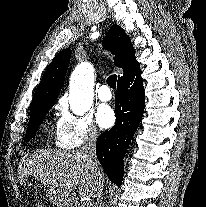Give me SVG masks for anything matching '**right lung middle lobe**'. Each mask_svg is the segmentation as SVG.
<instances>
[{
	"instance_id": "obj_1",
	"label": "right lung middle lobe",
	"mask_w": 206,
	"mask_h": 207,
	"mask_svg": "<svg viewBox=\"0 0 206 207\" xmlns=\"http://www.w3.org/2000/svg\"><path fill=\"white\" fill-rule=\"evenodd\" d=\"M52 106V104H45L30 111V121L25 137L26 141H29L33 136H35L43 117L48 113Z\"/></svg>"
}]
</instances>
